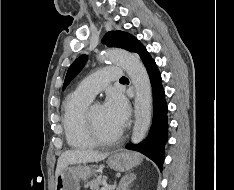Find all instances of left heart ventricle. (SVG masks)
Listing matches in <instances>:
<instances>
[{
	"instance_id": "obj_1",
	"label": "left heart ventricle",
	"mask_w": 234,
	"mask_h": 190,
	"mask_svg": "<svg viewBox=\"0 0 234 190\" xmlns=\"http://www.w3.org/2000/svg\"><path fill=\"white\" fill-rule=\"evenodd\" d=\"M92 116L94 118L98 130L103 135L110 136L120 129L109 119L102 104L93 105Z\"/></svg>"
}]
</instances>
